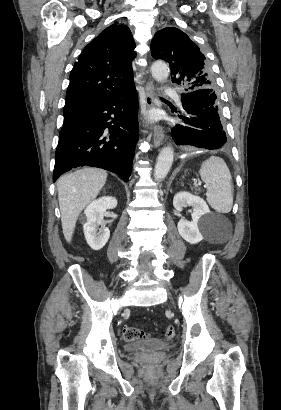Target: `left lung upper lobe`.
Segmentation results:
<instances>
[{"instance_id": "left-lung-upper-lobe-1", "label": "left lung upper lobe", "mask_w": 281, "mask_h": 410, "mask_svg": "<svg viewBox=\"0 0 281 410\" xmlns=\"http://www.w3.org/2000/svg\"><path fill=\"white\" fill-rule=\"evenodd\" d=\"M151 54L170 65L172 81L180 84L184 92L214 89L212 70L199 47L177 28L166 27L158 31L151 42Z\"/></svg>"}]
</instances>
